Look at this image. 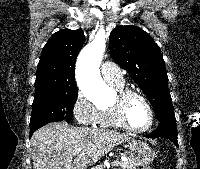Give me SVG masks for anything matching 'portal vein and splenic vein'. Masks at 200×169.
<instances>
[{
    "instance_id": "18ae733b",
    "label": "portal vein and splenic vein",
    "mask_w": 200,
    "mask_h": 169,
    "mask_svg": "<svg viewBox=\"0 0 200 169\" xmlns=\"http://www.w3.org/2000/svg\"><path fill=\"white\" fill-rule=\"evenodd\" d=\"M118 165H119V162H118V161L112 162V166H118Z\"/></svg>"
}]
</instances>
